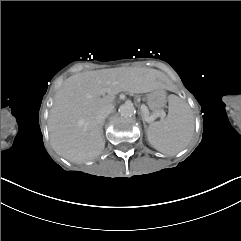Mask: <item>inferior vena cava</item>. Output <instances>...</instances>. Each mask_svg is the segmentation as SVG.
Listing matches in <instances>:
<instances>
[{
  "mask_svg": "<svg viewBox=\"0 0 241 241\" xmlns=\"http://www.w3.org/2000/svg\"><path fill=\"white\" fill-rule=\"evenodd\" d=\"M114 106L111 105L106 109L101 110L95 117L96 122L100 125L103 124L105 118L113 111Z\"/></svg>",
  "mask_w": 241,
  "mask_h": 241,
  "instance_id": "obj_1",
  "label": "inferior vena cava"
}]
</instances>
